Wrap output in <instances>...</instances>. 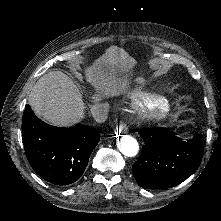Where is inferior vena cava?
<instances>
[{"label": "inferior vena cava", "instance_id": "1", "mask_svg": "<svg viewBox=\"0 0 221 221\" xmlns=\"http://www.w3.org/2000/svg\"><path fill=\"white\" fill-rule=\"evenodd\" d=\"M93 111L95 113L97 122H104L107 119L108 110L104 104H94Z\"/></svg>", "mask_w": 221, "mask_h": 221}]
</instances>
